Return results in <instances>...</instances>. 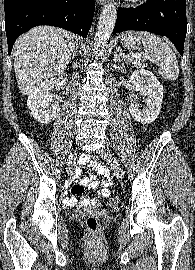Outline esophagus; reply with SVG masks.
Returning a JSON list of instances; mask_svg holds the SVG:
<instances>
[{"mask_svg": "<svg viewBox=\"0 0 195 270\" xmlns=\"http://www.w3.org/2000/svg\"><path fill=\"white\" fill-rule=\"evenodd\" d=\"M106 1H107V0H97V3H98L99 5H103V4L106 3Z\"/></svg>", "mask_w": 195, "mask_h": 270, "instance_id": "34e87169", "label": "esophagus"}]
</instances>
